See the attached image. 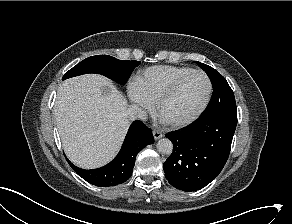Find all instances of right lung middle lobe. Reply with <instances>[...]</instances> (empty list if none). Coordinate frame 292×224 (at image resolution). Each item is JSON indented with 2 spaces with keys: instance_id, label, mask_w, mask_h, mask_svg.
I'll use <instances>...</instances> for the list:
<instances>
[{
  "instance_id": "1",
  "label": "right lung middle lobe",
  "mask_w": 292,
  "mask_h": 224,
  "mask_svg": "<svg viewBox=\"0 0 292 224\" xmlns=\"http://www.w3.org/2000/svg\"><path fill=\"white\" fill-rule=\"evenodd\" d=\"M140 61H122L108 55L88 57L70 69L62 80L86 74H102L119 84H125Z\"/></svg>"
}]
</instances>
